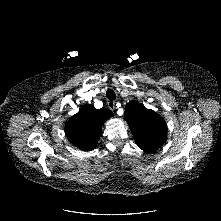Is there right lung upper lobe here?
<instances>
[{"label":"right lung upper lobe","instance_id":"1","mask_svg":"<svg viewBox=\"0 0 221 221\" xmlns=\"http://www.w3.org/2000/svg\"><path fill=\"white\" fill-rule=\"evenodd\" d=\"M112 115L106 108L95 109L92 105H85L66 123L65 134L79 149L93 150L100 138L102 125Z\"/></svg>","mask_w":221,"mask_h":221}]
</instances>
